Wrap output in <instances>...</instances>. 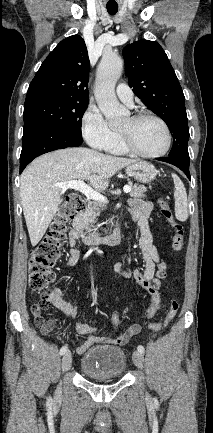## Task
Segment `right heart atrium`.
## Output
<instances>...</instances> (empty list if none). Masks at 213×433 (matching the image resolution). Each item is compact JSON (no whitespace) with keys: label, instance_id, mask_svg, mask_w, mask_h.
Listing matches in <instances>:
<instances>
[{"label":"right heart atrium","instance_id":"d8ad5b80","mask_svg":"<svg viewBox=\"0 0 213 433\" xmlns=\"http://www.w3.org/2000/svg\"><path fill=\"white\" fill-rule=\"evenodd\" d=\"M81 132L86 142L98 150H105L115 136L102 114L94 107H89L84 112Z\"/></svg>","mask_w":213,"mask_h":433}]
</instances>
